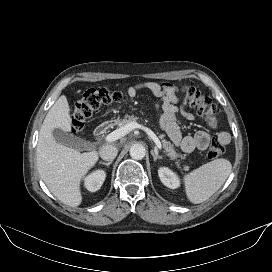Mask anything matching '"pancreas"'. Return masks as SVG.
<instances>
[{
	"label": "pancreas",
	"mask_w": 272,
	"mask_h": 272,
	"mask_svg": "<svg viewBox=\"0 0 272 272\" xmlns=\"http://www.w3.org/2000/svg\"><path fill=\"white\" fill-rule=\"evenodd\" d=\"M136 120H137V117H135L134 115H132V116H128L127 115V116H125L124 119H121L120 121H118V126L122 127V126H124V125H126V124H128L130 122L136 121ZM159 138L162 140V144H163V147L166 150L167 156H169L172 160H175L177 166L179 167L178 158L185 159L186 155H182V154L177 153L175 151V149H174L173 144H171L170 141H167L165 139V134H160ZM183 169L184 170H188L189 167L188 166H184Z\"/></svg>",
	"instance_id": "pancreas-1"
}]
</instances>
